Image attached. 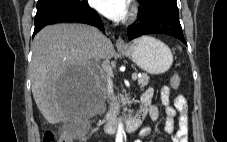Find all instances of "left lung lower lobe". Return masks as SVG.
<instances>
[{
	"label": "left lung lower lobe",
	"mask_w": 227,
	"mask_h": 142,
	"mask_svg": "<svg viewBox=\"0 0 227 142\" xmlns=\"http://www.w3.org/2000/svg\"><path fill=\"white\" fill-rule=\"evenodd\" d=\"M140 18V23L128 27L129 40L145 34L161 33L171 35L187 45L179 22V13L155 8Z\"/></svg>",
	"instance_id": "left-lung-lower-lobe-1"
}]
</instances>
